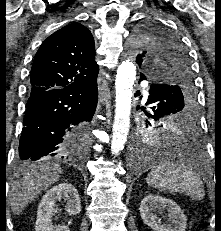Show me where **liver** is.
<instances>
[{
	"mask_svg": "<svg viewBox=\"0 0 221 231\" xmlns=\"http://www.w3.org/2000/svg\"><path fill=\"white\" fill-rule=\"evenodd\" d=\"M61 173L60 164L50 162H39L21 168L10 183L9 201L12 212L20 215L41 192L59 180Z\"/></svg>",
	"mask_w": 221,
	"mask_h": 231,
	"instance_id": "1",
	"label": "liver"
}]
</instances>
